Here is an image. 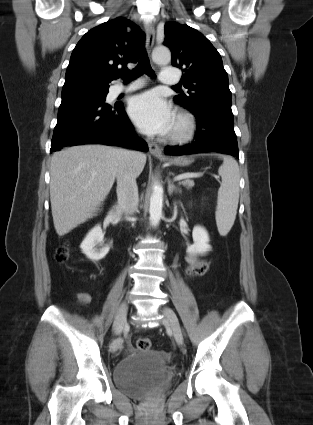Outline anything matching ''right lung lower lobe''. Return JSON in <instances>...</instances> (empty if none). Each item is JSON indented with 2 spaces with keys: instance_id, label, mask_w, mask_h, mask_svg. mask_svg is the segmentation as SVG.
Masks as SVG:
<instances>
[{
  "instance_id": "right-lung-lower-lobe-1",
  "label": "right lung lower lobe",
  "mask_w": 313,
  "mask_h": 425,
  "mask_svg": "<svg viewBox=\"0 0 313 425\" xmlns=\"http://www.w3.org/2000/svg\"><path fill=\"white\" fill-rule=\"evenodd\" d=\"M95 89L62 90L50 152L65 146L100 143L147 151L148 146L133 130L122 103L108 105L106 95ZM108 93V92H107Z\"/></svg>"
}]
</instances>
